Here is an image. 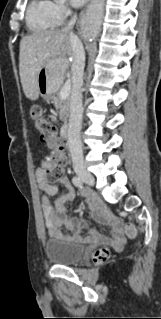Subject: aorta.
Returning a JSON list of instances; mask_svg holds the SVG:
<instances>
[{
    "label": "aorta",
    "mask_w": 161,
    "mask_h": 319,
    "mask_svg": "<svg viewBox=\"0 0 161 319\" xmlns=\"http://www.w3.org/2000/svg\"><path fill=\"white\" fill-rule=\"evenodd\" d=\"M90 16L87 15L86 17V27H87V31L88 33H95L98 29V24L96 22H92L90 19Z\"/></svg>",
    "instance_id": "obj_1"
}]
</instances>
